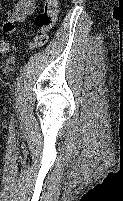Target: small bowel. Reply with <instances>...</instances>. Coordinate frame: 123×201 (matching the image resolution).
<instances>
[{"label": "small bowel", "mask_w": 123, "mask_h": 201, "mask_svg": "<svg viewBox=\"0 0 123 201\" xmlns=\"http://www.w3.org/2000/svg\"><path fill=\"white\" fill-rule=\"evenodd\" d=\"M35 9V0H18L12 10L5 12L2 29L5 33H13L16 24L24 21Z\"/></svg>", "instance_id": "obj_1"}]
</instances>
